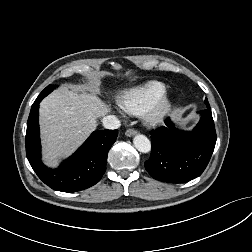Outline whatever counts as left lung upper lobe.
Listing matches in <instances>:
<instances>
[{"mask_svg":"<svg viewBox=\"0 0 252 252\" xmlns=\"http://www.w3.org/2000/svg\"><path fill=\"white\" fill-rule=\"evenodd\" d=\"M205 103H206V105H209V103L207 102V99H205V101H204Z\"/></svg>","mask_w":252,"mask_h":252,"instance_id":"left-lung-upper-lobe-1","label":"left lung upper lobe"}]
</instances>
